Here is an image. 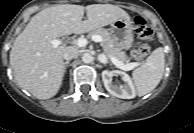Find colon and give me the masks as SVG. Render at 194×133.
Masks as SVG:
<instances>
[{"mask_svg": "<svg viewBox=\"0 0 194 133\" xmlns=\"http://www.w3.org/2000/svg\"><path fill=\"white\" fill-rule=\"evenodd\" d=\"M134 26L137 35L140 39L144 41H149L152 39L153 33L150 27L147 25L145 19L141 16H137L134 19ZM150 51V46L148 43L144 42L134 48L131 52V56L135 60H140L144 58Z\"/></svg>", "mask_w": 194, "mask_h": 133, "instance_id": "1", "label": "colon"}]
</instances>
